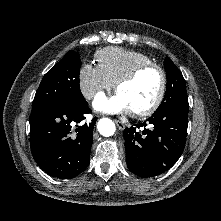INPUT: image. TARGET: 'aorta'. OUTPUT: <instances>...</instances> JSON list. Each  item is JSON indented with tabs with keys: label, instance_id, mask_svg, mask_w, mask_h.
I'll use <instances>...</instances> for the list:
<instances>
[{
	"label": "aorta",
	"instance_id": "obj_1",
	"mask_svg": "<svg viewBox=\"0 0 221 221\" xmlns=\"http://www.w3.org/2000/svg\"><path fill=\"white\" fill-rule=\"evenodd\" d=\"M98 131L102 136L109 137L115 132V125L109 118H102L97 125Z\"/></svg>",
	"mask_w": 221,
	"mask_h": 221
}]
</instances>
